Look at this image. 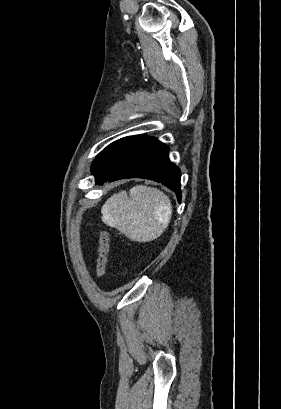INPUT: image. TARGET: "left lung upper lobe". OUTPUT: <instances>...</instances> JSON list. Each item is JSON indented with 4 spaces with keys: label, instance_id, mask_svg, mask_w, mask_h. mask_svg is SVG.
<instances>
[{
    "label": "left lung upper lobe",
    "instance_id": "1",
    "mask_svg": "<svg viewBox=\"0 0 281 409\" xmlns=\"http://www.w3.org/2000/svg\"><path fill=\"white\" fill-rule=\"evenodd\" d=\"M146 135L142 136H133V137H124L121 138L110 145H108L104 150H102L96 160L91 166L92 174L97 173L102 167H104L111 159L121 154L130 147L136 145L142 140L146 139Z\"/></svg>",
    "mask_w": 281,
    "mask_h": 409
}]
</instances>
